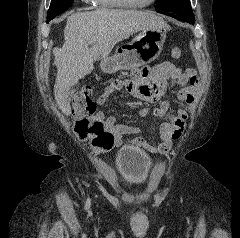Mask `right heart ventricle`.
Instances as JSON below:
<instances>
[{
	"label": "right heart ventricle",
	"mask_w": 240,
	"mask_h": 238,
	"mask_svg": "<svg viewBox=\"0 0 240 238\" xmlns=\"http://www.w3.org/2000/svg\"><path fill=\"white\" fill-rule=\"evenodd\" d=\"M95 3L105 8H120L123 7L118 0H95Z\"/></svg>",
	"instance_id": "1"
}]
</instances>
